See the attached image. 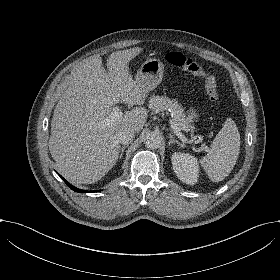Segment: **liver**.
Wrapping results in <instances>:
<instances>
[{
	"label": "liver",
	"mask_w": 280,
	"mask_h": 280,
	"mask_svg": "<svg viewBox=\"0 0 280 280\" xmlns=\"http://www.w3.org/2000/svg\"><path fill=\"white\" fill-rule=\"evenodd\" d=\"M143 49L113 52L106 73L101 57L94 56L68 77V88L58 101L51 122L49 150L57 169L79 184L100 180L117 162L121 147L116 133H139L148 110L136 107L105 125L119 102L143 105L146 93L129 74L128 63Z\"/></svg>",
	"instance_id": "6515ba94"
}]
</instances>
